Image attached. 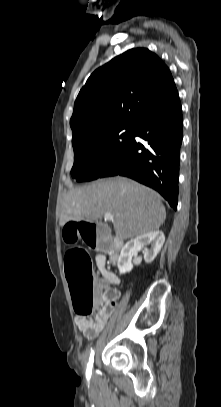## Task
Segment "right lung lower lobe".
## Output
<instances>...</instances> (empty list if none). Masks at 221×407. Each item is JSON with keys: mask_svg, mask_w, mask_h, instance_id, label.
<instances>
[{"mask_svg": "<svg viewBox=\"0 0 221 407\" xmlns=\"http://www.w3.org/2000/svg\"><path fill=\"white\" fill-rule=\"evenodd\" d=\"M182 133V109L176 89L134 124L129 145L101 177H130L157 190L176 210ZM136 136L142 140H136Z\"/></svg>", "mask_w": 221, "mask_h": 407, "instance_id": "1", "label": "right lung lower lobe"}]
</instances>
